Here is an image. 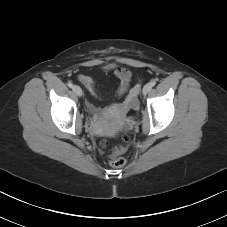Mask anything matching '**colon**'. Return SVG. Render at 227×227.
Here are the masks:
<instances>
[{"label":"colon","instance_id":"5ec220e1","mask_svg":"<svg viewBox=\"0 0 227 227\" xmlns=\"http://www.w3.org/2000/svg\"><path fill=\"white\" fill-rule=\"evenodd\" d=\"M129 140H130V137L128 135H125L123 137L124 144L120 145L119 147L114 149L112 157L110 159V165L112 167L120 168V167H123L126 164V159L124 157L120 156V155L125 152L126 147H127V143L129 142ZM101 145L103 147H105L106 143L102 142Z\"/></svg>","mask_w":227,"mask_h":227}]
</instances>
